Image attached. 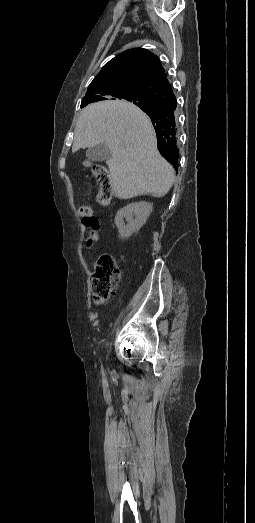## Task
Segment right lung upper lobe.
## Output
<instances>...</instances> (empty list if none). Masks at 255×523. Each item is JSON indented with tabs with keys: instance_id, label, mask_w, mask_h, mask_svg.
I'll use <instances>...</instances> for the list:
<instances>
[{
	"instance_id": "cb5924a9",
	"label": "right lung upper lobe",
	"mask_w": 255,
	"mask_h": 523,
	"mask_svg": "<svg viewBox=\"0 0 255 523\" xmlns=\"http://www.w3.org/2000/svg\"><path fill=\"white\" fill-rule=\"evenodd\" d=\"M128 89L142 90L152 98L153 103L148 108L140 102L134 104L151 118L159 151L177 169L176 97L160 60L149 50H126L110 60L90 83L81 106Z\"/></svg>"
}]
</instances>
